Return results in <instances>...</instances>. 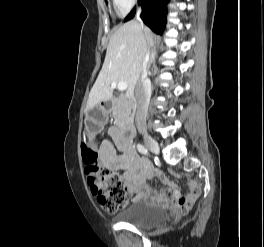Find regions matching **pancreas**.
Instances as JSON below:
<instances>
[{
  "mask_svg": "<svg viewBox=\"0 0 264 247\" xmlns=\"http://www.w3.org/2000/svg\"><path fill=\"white\" fill-rule=\"evenodd\" d=\"M130 105L131 100L124 96H121L113 105L112 115L115 118V123L122 125L130 118Z\"/></svg>",
  "mask_w": 264,
  "mask_h": 247,
  "instance_id": "obj_1",
  "label": "pancreas"
}]
</instances>
